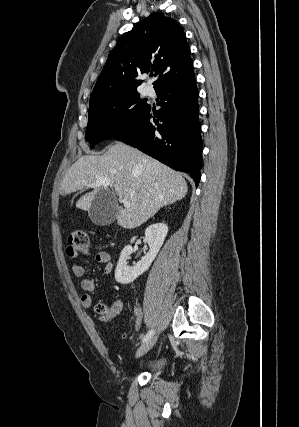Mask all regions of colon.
I'll return each instance as SVG.
<instances>
[{"instance_id": "5ec220e1", "label": "colon", "mask_w": 299, "mask_h": 427, "mask_svg": "<svg viewBox=\"0 0 299 427\" xmlns=\"http://www.w3.org/2000/svg\"><path fill=\"white\" fill-rule=\"evenodd\" d=\"M89 233L86 229L80 228L72 232L69 237V243L67 248V254L69 257H77L80 254H85L89 251ZM96 312L101 314L105 320L108 312L107 308L103 304L96 306Z\"/></svg>"}]
</instances>
